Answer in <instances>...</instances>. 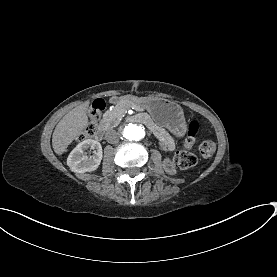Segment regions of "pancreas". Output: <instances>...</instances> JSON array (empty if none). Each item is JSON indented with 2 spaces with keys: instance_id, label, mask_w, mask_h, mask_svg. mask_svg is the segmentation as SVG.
<instances>
[{
  "instance_id": "obj_1",
  "label": "pancreas",
  "mask_w": 277,
  "mask_h": 277,
  "mask_svg": "<svg viewBox=\"0 0 277 277\" xmlns=\"http://www.w3.org/2000/svg\"><path fill=\"white\" fill-rule=\"evenodd\" d=\"M131 108L128 103L119 102L114 105V108L105 112L104 118L107 123H116L120 117H125L130 114Z\"/></svg>"
}]
</instances>
